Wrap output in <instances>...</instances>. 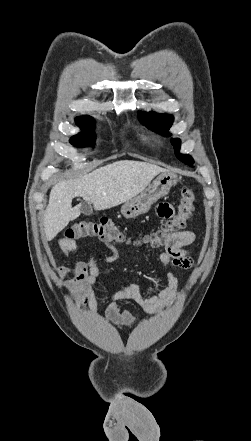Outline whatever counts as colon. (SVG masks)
Listing matches in <instances>:
<instances>
[{
    "instance_id": "1",
    "label": "colon",
    "mask_w": 251,
    "mask_h": 441,
    "mask_svg": "<svg viewBox=\"0 0 251 441\" xmlns=\"http://www.w3.org/2000/svg\"><path fill=\"white\" fill-rule=\"evenodd\" d=\"M194 203L195 195L193 190L190 188L184 189L181 192L177 213L162 224L157 231L147 235L144 243L151 246L164 244L175 231L184 227L191 219ZM87 237H96L113 244H119L125 240V236L118 226L107 218L79 221L66 231V240Z\"/></svg>"
}]
</instances>
